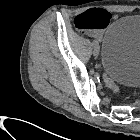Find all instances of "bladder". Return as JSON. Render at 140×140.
Wrapping results in <instances>:
<instances>
[{"mask_svg":"<svg viewBox=\"0 0 140 140\" xmlns=\"http://www.w3.org/2000/svg\"><path fill=\"white\" fill-rule=\"evenodd\" d=\"M105 72L125 86H140V15L116 20L103 38Z\"/></svg>","mask_w":140,"mask_h":140,"instance_id":"obj_1","label":"bladder"}]
</instances>
